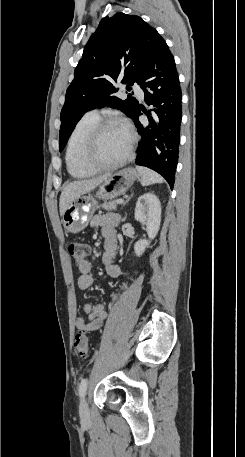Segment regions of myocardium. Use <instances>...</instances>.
<instances>
[{"instance_id":"1","label":"myocardium","mask_w":245,"mask_h":457,"mask_svg":"<svg viewBox=\"0 0 245 457\" xmlns=\"http://www.w3.org/2000/svg\"><path fill=\"white\" fill-rule=\"evenodd\" d=\"M112 127H119V128L124 129L127 132L128 136L130 138V143H129V146H128L126 152L122 156H120L119 158H117L113 161H110V162H107L104 164H99V165L92 164L87 158V151L90 150V148L92 146L99 143L100 138H101L102 134L104 133V131H106L108 128H112ZM135 144H136V137H135L134 133L130 129H128L126 126H124L122 123H120L117 120H113V119L99 120L92 127V129L90 130V132L87 135L86 143H85L83 149L79 153V163L83 168L89 170L90 172H99V171H103V170L114 169V168L119 167L122 164L126 163L128 160H130V158L132 157L133 152H134Z\"/></svg>"}]
</instances>
